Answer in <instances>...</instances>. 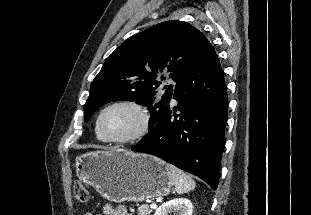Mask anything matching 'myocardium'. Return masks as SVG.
<instances>
[{
  "label": "myocardium",
  "mask_w": 311,
  "mask_h": 215,
  "mask_svg": "<svg viewBox=\"0 0 311 215\" xmlns=\"http://www.w3.org/2000/svg\"><path fill=\"white\" fill-rule=\"evenodd\" d=\"M116 106H128L135 109L141 117V124L136 132L133 134L122 137V138H114L105 135L102 129V118L107 110ZM150 127V114L147 108L141 103L134 100H117L106 105L99 113L96 121V128L99 135L105 142L115 143V144H130L137 142L144 138L149 131Z\"/></svg>",
  "instance_id": "f54148a6"
}]
</instances>
